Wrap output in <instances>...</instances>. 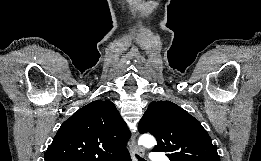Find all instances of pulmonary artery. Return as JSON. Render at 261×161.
<instances>
[{
	"label": "pulmonary artery",
	"mask_w": 261,
	"mask_h": 161,
	"mask_svg": "<svg viewBox=\"0 0 261 161\" xmlns=\"http://www.w3.org/2000/svg\"><path fill=\"white\" fill-rule=\"evenodd\" d=\"M154 161H170L168 157L166 156H156L153 159Z\"/></svg>",
	"instance_id": "e3ab8cb5"
}]
</instances>
